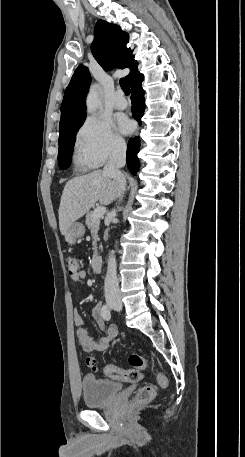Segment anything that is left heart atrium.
Here are the masks:
<instances>
[{"label":"left heart atrium","mask_w":245,"mask_h":457,"mask_svg":"<svg viewBox=\"0 0 245 457\" xmlns=\"http://www.w3.org/2000/svg\"><path fill=\"white\" fill-rule=\"evenodd\" d=\"M118 126L122 133H129L132 129V123L124 118L118 120Z\"/></svg>","instance_id":"39dd6f15"}]
</instances>
